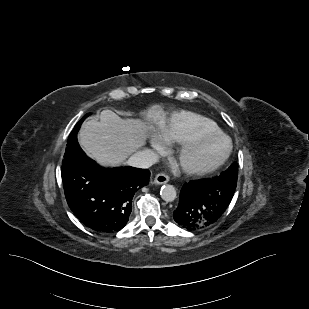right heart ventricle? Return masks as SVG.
<instances>
[{
    "label": "right heart ventricle",
    "mask_w": 309,
    "mask_h": 309,
    "mask_svg": "<svg viewBox=\"0 0 309 309\" xmlns=\"http://www.w3.org/2000/svg\"><path fill=\"white\" fill-rule=\"evenodd\" d=\"M221 132L218 125L197 113L181 111L160 123L158 134L164 140L181 144L199 133Z\"/></svg>",
    "instance_id": "e07e8e85"
}]
</instances>
